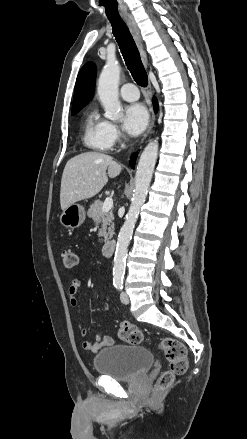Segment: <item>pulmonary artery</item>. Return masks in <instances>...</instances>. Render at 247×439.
Wrapping results in <instances>:
<instances>
[{"label":"pulmonary artery","mask_w":247,"mask_h":439,"mask_svg":"<svg viewBox=\"0 0 247 439\" xmlns=\"http://www.w3.org/2000/svg\"><path fill=\"white\" fill-rule=\"evenodd\" d=\"M121 97L126 101H136L139 98L137 87L132 83L124 84L120 89Z\"/></svg>","instance_id":"e3ab8cb5"}]
</instances>
